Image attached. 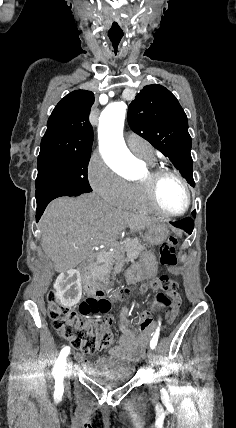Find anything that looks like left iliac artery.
Segmentation results:
<instances>
[{
    "label": "left iliac artery",
    "mask_w": 236,
    "mask_h": 428,
    "mask_svg": "<svg viewBox=\"0 0 236 428\" xmlns=\"http://www.w3.org/2000/svg\"><path fill=\"white\" fill-rule=\"evenodd\" d=\"M159 325H160V322H159ZM159 331H160V329L158 327L157 330H156V332H155V334H154V336H153V338H152V340L150 341V347H151V349H155V347L157 345Z\"/></svg>",
    "instance_id": "1"
}]
</instances>
